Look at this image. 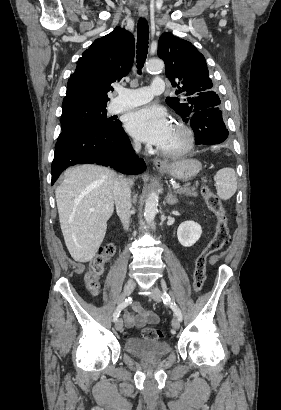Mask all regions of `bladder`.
I'll return each instance as SVG.
<instances>
[{
	"label": "bladder",
	"mask_w": 281,
	"mask_h": 410,
	"mask_svg": "<svg viewBox=\"0 0 281 410\" xmlns=\"http://www.w3.org/2000/svg\"><path fill=\"white\" fill-rule=\"evenodd\" d=\"M124 346L127 353L144 359L161 358L171 351V346L167 342L145 340L136 336L126 338Z\"/></svg>",
	"instance_id": "bladder-1"
}]
</instances>
